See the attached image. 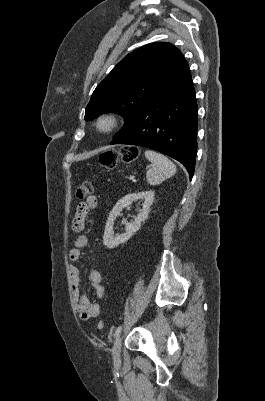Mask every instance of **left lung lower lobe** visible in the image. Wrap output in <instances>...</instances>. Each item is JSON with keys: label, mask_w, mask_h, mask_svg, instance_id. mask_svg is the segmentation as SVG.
I'll return each instance as SVG.
<instances>
[{"label": "left lung lower lobe", "mask_w": 265, "mask_h": 401, "mask_svg": "<svg viewBox=\"0 0 265 401\" xmlns=\"http://www.w3.org/2000/svg\"><path fill=\"white\" fill-rule=\"evenodd\" d=\"M198 106L187 67L111 144L148 147L181 162L194 174Z\"/></svg>", "instance_id": "obj_1"}]
</instances>
